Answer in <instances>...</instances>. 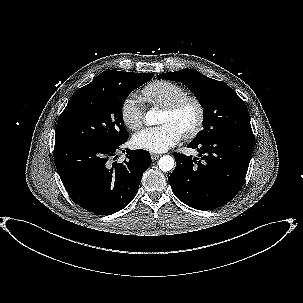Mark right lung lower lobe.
Instances as JSON below:
<instances>
[{"mask_svg": "<svg viewBox=\"0 0 303 303\" xmlns=\"http://www.w3.org/2000/svg\"><path fill=\"white\" fill-rule=\"evenodd\" d=\"M126 140L109 145L83 142L55 145L57 171L76 204L104 215L117 212L131 202L144 171L151 165V156L146 150L126 149L127 160L112 162Z\"/></svg>", "mask_w": 303, "mask_h": 303, "instance_id": "obj_1", "label": "right lung lower lobe"}]
</instances>
